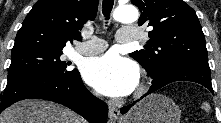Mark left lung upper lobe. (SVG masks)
I'll use <instances>...</instances> for the list:
<instances>
[{"label":"left lung upper lobe","mask_w":221,"mask_h":123,"mask_svg":"<svg viewBox=\"0 0 221 123\" xmlns=\"http://www.w3.org/2000/svg\"><path fill=\"white\" fill-rule=\"evenodd\" d=\"M141 12L139 26L153 28L146 50L130 53L152 78L172 65H208L204 34L195 11L182 0H131ZM151 44V45H150Z\"/></svg>","instance_id":"1"}]
</instances>
